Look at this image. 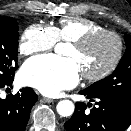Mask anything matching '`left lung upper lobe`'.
<instances>
[{
  "mask_svg": "<svg viewBox=\"0 0 131 131\" xmlns=\"http://www.w3.org/2000/svg\"><path fill=\"white\" fill-rule=\"evenodd\" d=\"M126 51L115 71L84 89L93 96L115 98L131 105V36L125 34Z\"/></svg>",
  "mask_w": 131,
  "mask_h": 131,
  "instance_id": "obj_1",
  "label": "left lung upper lobe"
}]
</instances>
